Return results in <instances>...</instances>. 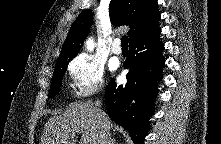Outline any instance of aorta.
Returning <instances> with one entry per match:
<instances>
[{"instance_id": "aorta-1", "label": "aorta", "mask_w": 221, "mask_h": 144, "mask_svg": "<svg viewBox=\"0 0 221 144\" xmlns=\"http://www.w3.org/2000/svg\"><path fill=\"white\" fill-rule=\"evenodd\" d=\"M85 44H86V48L88 51L90 52L93 51L94 46H95L93 39L89 38Z\"/></svg>"}]
</instances>
